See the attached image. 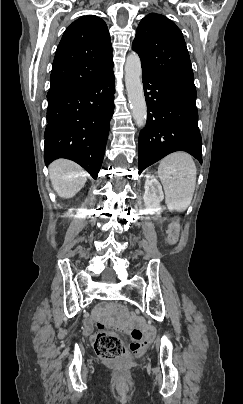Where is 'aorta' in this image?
<instances>
[{"instance_id":"1","label":"aorta","mask_w":243,"mask_h":404,"mask_svg":"<svg viewBox=\"0 0 243 404\" xmlns=\"http://www.w3.org/2000/svg\"><path fill=\"white\" fill-rule=\"evenodd\" d=\"M141 74L140 58L138 54L131 52L126 58L125 86L133 120L138 128H144L147 120V106L144 98Z\"/></svg>"}]
</instances>
